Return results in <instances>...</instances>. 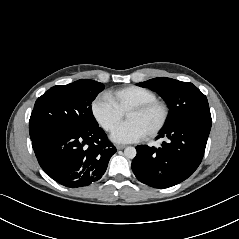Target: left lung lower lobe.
<instances>
[{
    "mask_svg": "<svg viewBox=\"0 0 239 239\" xmlns=\"http://www.w3.org/2000/svg\"><path fill=\"white\" fill-rule=\"evenodd\" d=\"M211 120L192 119L165 127L158 138L167 137L160 148L140 145L132 161L139 181L154 188L174 186L193 174L204 155Z\"/></svg>",
    "mask_w": 239,
    "mask_h": 239,
    "instance_id": "left-lung-lower-lobe-1",
    "label": "left lung lower lobe"
}]
</instances>
